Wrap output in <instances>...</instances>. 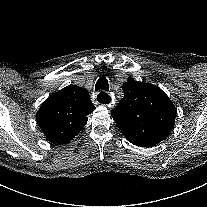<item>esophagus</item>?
<instances>
[{
  "instance_id": "34e87169",
  "label": "esophagus",
  "mask_w": 207,
  "mask_h": 207,
  "mask_svg": "<svg viewBox=\"0 0 207 207\" xmlns=\"http://www.w3.org/2000/svg\"><path fill=\"white\" fill-rule=\"evenodd\" d=\"M101 92H98V93H95V100H94V102L96 103V104H98V100H99V102L101 103V104H103L105 107H107V108H110V107H112L113 105H114V103H115V100H114V98L112 97V96H110L108 93H106V92H103V93H101ZM99 96V97H98Z\"/></svg>"
}]
</instances>
